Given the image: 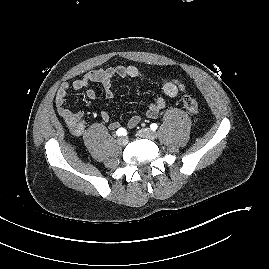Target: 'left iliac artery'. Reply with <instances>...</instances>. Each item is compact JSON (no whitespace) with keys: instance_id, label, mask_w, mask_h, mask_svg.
<instances>
[{"instance_id":"left-iliac-artery-1","label":"left iliac artery","mask_w":269,"mask_h":269,"mask_svg":"<svg viewBox=\"0 0 269 269\" xmlns=\"http://www.w3.org/2000/svg\"><path fill=\"white\" fill-rule=\"evenodd\" d=\"M150 128H151V130L155 131V130L158 128V126H157L156 123H152V124L150 125Z\"/></svg>"}]
</instances>
